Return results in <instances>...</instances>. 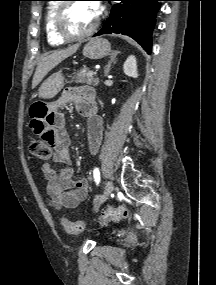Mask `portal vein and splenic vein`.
Listing matches in <instances>:
<instances>
[{
  "label": "portal vein and splenic vein",
  "mask_w": 216,
  "mask_h": 285,
  "mask_svg": "<svg viewBox=\"0 0 216 285\" xmlns=\"http://www.w3.org/2000/svg\"><path fill=\"white\" fill-rule=\"evenodd\" d=\"M95 74H96V72H94V71H89V72L87 73L88 76H93V75H95Z\"/></svg>",
  "instance_id": "1"
}]
</instances>
